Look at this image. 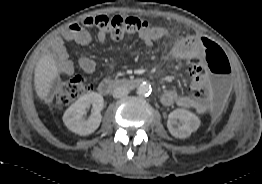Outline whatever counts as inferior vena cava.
Wrapping results in <instances>:
<instances>
[{
  "label": "inferior vena cava",
  "instance_id": "obj_1",
  "mask_svg": "<svg viewBox=\"0 0 262 184\" xmlns=\"http://www.w3.org/2000/svg\"><path fill=\"white\" fill-rule=\"evenodd\" d=\"M129 93V90L124 86H119L113 90V97L114 98H121L124 96H127Z\"/></svg>",
  "mask_w": 262,
  "mask_h": 184
}]
</instances>
